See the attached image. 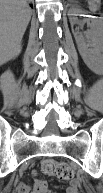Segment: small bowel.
<instances>
[{
  "label": "small bowel",
  "instance_id": "small-bowel-1",
  "mask_svg": "<svg viewBox=\"0 0 103 193\" xmlns=\"http://www.w3.org/2000/svg\"><path fill=\"white\" fill-rule=\"evenodd\" d=\"M17 193H50L47 183L42 179H34L31 186L26 184L16 185ZM65 193H80V181L73 179L69 182Z\"/></svg>",
  "mask_w": 103,
  "mask_h": 193
}]
</instances>
